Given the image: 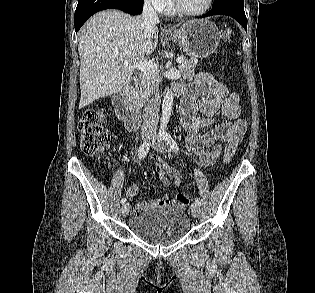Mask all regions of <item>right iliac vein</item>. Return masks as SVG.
<instances>
[{"instance_id":"obj_1","label":"right iliac vein","mask_w":315,"mask_h":293,"mask_svg":"<svg viewBox=\"0 0 315 293\" xmlns=\"http://www.w3.org/2000/svg\"><path fill=\"white\" fill-rule=\"evenodd\" d=\"M143 141L144 142H149L150 141V136H145L143 138ZM129 211H130V204L129 203L123 204L122 207H121V212H122L123 216H127Z\"/></svg>"}]
</instances>
